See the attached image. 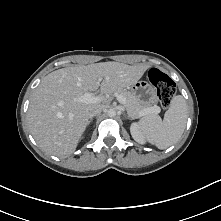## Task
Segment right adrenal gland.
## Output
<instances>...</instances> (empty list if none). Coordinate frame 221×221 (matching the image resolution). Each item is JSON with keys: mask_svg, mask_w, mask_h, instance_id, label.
<instances>
[{"mask_svg": "<svg viewBox=\"0 0 221 221\" xmlns=\"http://www.w3.org/2000/svg\"><path fill=\"white\" fill-rule=\"evenodd\" d=\"M93 121V118L91 117L90 120L88 121V125Z\"/></svg>", "mask_w": 221, "mask_h": 221, "instance_id": "1", "label": "right adrenal gland"}]
</instances>
